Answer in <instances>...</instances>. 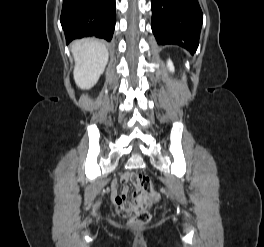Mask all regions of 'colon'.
<instances>
[{"mask_svg": "<svg viewBox=\"0 0 264 247\" xmlns=\"http://www.w3.org/2000/svg\"><path fill=\"white\" fill-rule=\"evenodd\" d=\"M132 183L137 196L133 200L124 199L116 205L121 214L130 216L129 221L132 225H145L150 221L151 215L146 208L147 201L144 196L156 199L158 195L154 191L150 177L146 174H135L132 178Z\"/></svg>", "mask_w": 264, "mask_h": 247, "instance_id": "5ec220e1", "label": "colon"}]
</instances>
